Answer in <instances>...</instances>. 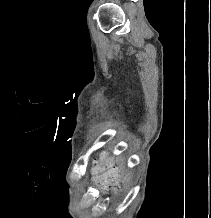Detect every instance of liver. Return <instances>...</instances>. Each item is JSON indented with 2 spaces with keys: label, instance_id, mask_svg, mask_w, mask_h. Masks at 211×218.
<instances>
[{
  "label": "liver",
  "instance_id": "1",
  "mask_svg": "<svg viewBox=\"0 0 211 218\" xmlns=\"http://www.w3.org/2000/svg\"><path fill=\"white\" fill-rule=\"evenodd\" d=\"M130 178H131V176H129V178H127V182H130Z\"/></svg>",
  "mask_w": 211,
  "mask_h": 218
}]
</instances>
